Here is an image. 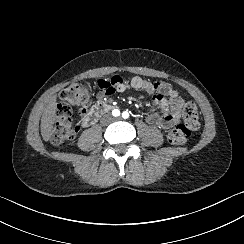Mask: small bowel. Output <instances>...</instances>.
<instances>
[{"mask_svg":"<svg viewBox=\"0 0 244 244\" xmlns=\"http://www.w3.org/2000/svg\"><path fill=\"white\" fill-rule=\"evenodd\" d=\"M96 86L98 88L95 96L97 101H102L115 93L125 92L129 88L151 93V111L146 116V122L150 126L166 130L179 119V108L182 99L179 93L166 82L148 81L141 77H134L127 81L120 76H114L107 80L98 81ZM156 108H159L161 113L155 112ZM84 121H89L88 114L85 115Z\"/></svg>","mask_w":244,"mask_h":244,"instance_id":"small-bowel-1","label":"small bowel"}]
</instances>
